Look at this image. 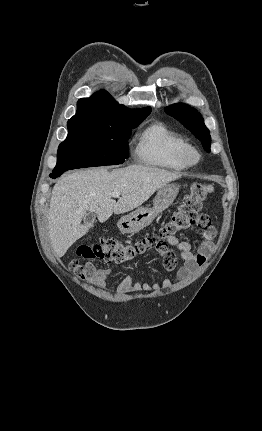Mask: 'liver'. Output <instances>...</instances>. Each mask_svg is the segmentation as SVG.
<instances>
[{
    "label": "liver",
    "instance_id": "liver-1",
    "mask_svg": "<svg viewBox=\"0 0 262 431\" xmlns=\"http://www.w3.org/2000/svg\"><path fill=\"white\" fill-rule=\"evenodd\" d=\"M180 173L131 165L122 169L95 168L65 175L52 190L48 213V232L52 249L62 257L72 244L84 236L86 211L95 212L100 222L113 213L129 212L146 202L156 190L179 179ZM119 191L116 202L111 193Z\"/></svg>",
    "mask_w": 262,
    "mask_h": 431
}]
</instances>
